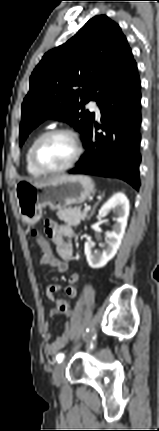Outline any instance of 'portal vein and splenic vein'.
<instances>
[{
  "mask_svg": "<svg viewBox=\"0 0 159 431\" xmlns=\"http://www.w3.org/2000/svg\"><path fill=\"white\" fill-rule=\"evenodd\" d=\"M91 209V206H86L85 208H84V211H88V210H90Z\"/></svg>",
  "mask_w": 159,
  "mask_h": 431,
  "instance_id": "18ae733b",
  "label": "portal vein and splenic vein"
}]
</instances>
